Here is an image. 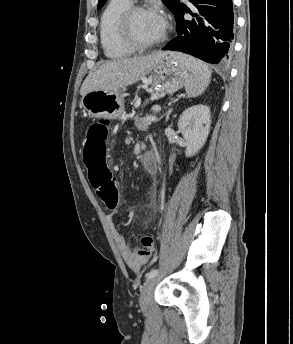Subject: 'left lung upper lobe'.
<instances>
[{
  "label": "left lung upper lobe",
  "instance_id": "5c2ea615",
  "mask_svg": "<svg viewBox=\"0 0 293 344\" xmlns=\"http://www.w3.org/2000/svg\"><path fill=\"white\" fill-rule=\"evenodd\" d=\"M106 0H99L97 9H101ZM162 2L173 12L177 7L179 0H162Z\"/></svg>",
  "mask_w": 293,
  "mask_h": 344
}]
</instances>
